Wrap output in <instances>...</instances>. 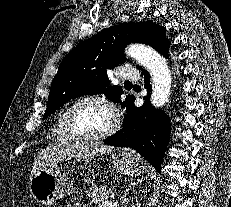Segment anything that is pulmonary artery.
Instances as JSON below:
<instances>
[{
  "label": "pulmonary artery",
  "instance_id": "pulmonary-artery-1",
  "mask_svg": "<svg viewBox=\"0 0 231 207\" xmlns=\"http://www.w3.org/2000/svg\"><path fill=\"white\" fill-rule=\"evenodd\" d=\"M118 77L129 81H137L139 78V72L130 66L122 67Z\"/></svg>",
  "mask_w": 231,
  "mask_h": 207
}]
</instances>
